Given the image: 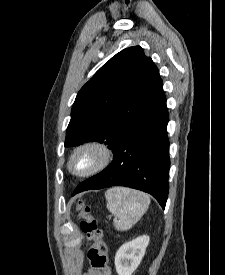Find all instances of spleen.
<instances>
[{"instance_id": "3e777b00", "label": "spleen", "mask_w": 225, "mask_h": 275, "mask_svg": "<svg viewBox=\"0 0 225 275\" xmlns=\"http://www.w3.org/2000/svg\"><path fill=\"white\" fill-rule=\"evenodd\" d=\"M107 209L118 221L114 223L118 231L131 229L145 214L150 204L147 194L125 187H113L105 192Z\"/></svg>"}]
</instances>
